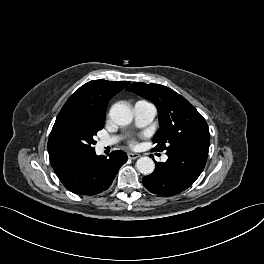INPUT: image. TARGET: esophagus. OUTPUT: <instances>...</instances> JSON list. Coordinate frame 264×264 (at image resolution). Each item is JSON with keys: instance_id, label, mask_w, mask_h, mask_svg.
<instances>
[{"instance_id": "34e87169", "label": "esophagus", "mask_w": 264, "mask_h": 264, "mask_svg": "<svg viewBox=\"0 0 264 264\" xmlns=\"http://www.w3.org/2000/svg\"><path fill=\"white\" fill-rule=\"evenodd\" d=\"M127 155H128V158L129 159H133V160L140 157V154H138V153H132V152H129Z\"/></svg>"}]
</instances>
